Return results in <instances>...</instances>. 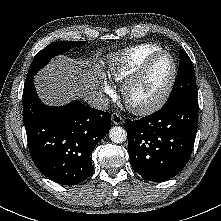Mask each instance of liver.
<instances>
[{
	"label": "liver",
	"instance_id": "obj_1",
	"mask_svg": "<svg viewBox=\"0 0 221 221\" xmlns=\"http://www.w3.org/2000/svg\"><path fill=\"white\" fill-rule=\"evenodd\" d=\"M40 98L49 105H63L74 98L86 100L98 87L94 70L67 56H58L42 69L34 79Z\"/></svg>",
	"mask_w": 221,
	"mask_h": 221
}]
</instances>
